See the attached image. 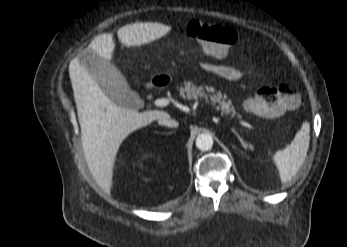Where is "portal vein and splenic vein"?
Segmentation results:
<instances>
[{
    "label": "portal vein and splenic vein",
    "mask_w": 347,
    "mask_h": 247,
    "mask_svg": "<svg viewBox=\"0 0 347 247\" xmlns=\"http://www.w3.org/2000/svg\"><path fill=\"white\" fill-rule=\"evenodd\" d=\"M169 103H170V99H168V98H160V99H156L154 101V104L156 106H159V107L167 106V105H169ZM241 125L248 128V129H253V130L255 129L253 125H251L250 123L245 122V121H241Z\"/></svg>",
    "instance_id": "obj_1"
}]
</instances>
